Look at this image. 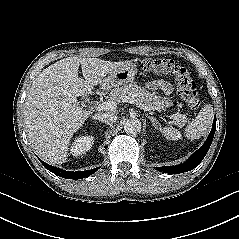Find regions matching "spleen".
I'll use <instances>...</instances> for the list:
<instances>
[{
  "label": "spleen",
  "instance_id": "spleen-1",
  "mask_svg": "<svg viewBox=\"0 0 239 239\" xmlns=\"http://www.w3.org/2000/svg\"><path fill=\"white\" fill-rule=\"evenodd\" d=\"M213 114L212 105L205 104L197 117L185 128V136L190 140H195L203 136L211 126ZM161 132L168 140H178L182 136L180 131L173 127H164Z\"/></svg>",
  "mask_w": 239,
  "mask_h": 239
}]
</instances>
